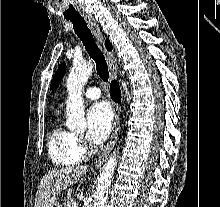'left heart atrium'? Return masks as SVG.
<instances>
[{"label":"left heart atrium","instance_id":"39dd6f15","mask_svg":"<svg viewBox=\"0 0 220 207\" xmlns=\"http://www.w3.org/2000/svg\"><path fill=\"white\" fill-rule=\"evenodd\" d=\"M113 122L110 105L101 101L95 103L87 114V137L95 144L103 142L109 135Z\"/></svg>","mask_w":220,"mask_h":207}]
</instances>
